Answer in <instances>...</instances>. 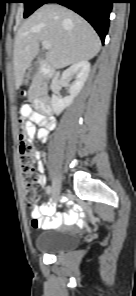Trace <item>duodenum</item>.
Segmentation results:
<instances>
[{
  "mask_svg": "<svg viewBox=\"0 0 136 296\" xmlns=\"http://www.w3.org/2000/svg\"><path fill=\"white\" fill-rule=\"evenodd\" d=\"M39 70L43 79L49 78L51 76V72L44 60L40 61L39 63ZM38 107L43 113V119L38 124L47 128H52L54 126V119L52 116L53 110L50 103L47 100L43 99L39 101Z\"/></svg>",
  "mask_w": 136,
  "mask_h": 296,
  "instance_id": "obj_1",
  "label": "duodenum"
}]
</instances>
